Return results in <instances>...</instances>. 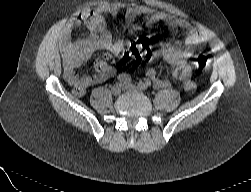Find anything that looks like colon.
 Here are the masks:
<instances>
[{
    "instance_id": "colon-1",
    "label": "colon",
    "mask_w": 251,
    "mask_h": 192,
    "mask_svg": "<svg viewBox=\"0 0 251 192\" xmlns=\"http://www.w3.org/2000/svg\"><path fill=\"white\" fill-rule=\"evenodd\" d=\"M155 55L154 45L152 39L147 36L139 37L136 41L132 42L124 51V58L130 62H142L150 60ZM215 61L213 55L200 53L196 59L197 69L200 71L207 70Z\"/></svg>"
}]
</instances>
